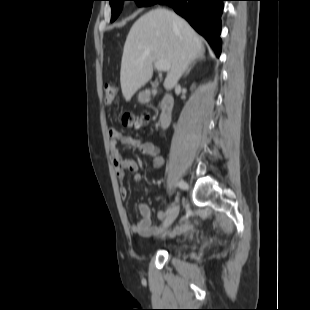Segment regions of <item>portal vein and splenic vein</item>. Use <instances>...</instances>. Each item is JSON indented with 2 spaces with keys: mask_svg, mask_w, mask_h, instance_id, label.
I'll use <instances>...</instances> for the list:
<instances>
[{
  "mask_svg": "<svg viewBox=\"0 0 310 310\" xmlns=\"http://www.w3.org/2000/svg\"><path fill=\"white\" fill-rule=\"evenodd\" d=\"M155 68L158 71H168L170 69V64L167 61H156Z\"/></svg>",
  "mask_w": 310,
  "mask_h": 310,
  "instance_id": "portal-vein-and-splenic-vein-1",
  "label": "portal vein and splenic vein"
}]
</instances>
